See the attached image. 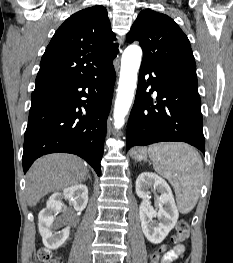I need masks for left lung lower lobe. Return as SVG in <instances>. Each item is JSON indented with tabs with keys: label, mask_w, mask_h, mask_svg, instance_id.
I'll list each match as a JSON object with an SVG mask.
<instances>
[{
	"label": "left lung lower lobe",
	"mask_w": 233,
	"mask_h": 263,
	"mask_svg": "<svg viewBox=\"0 0 233 263\" xmlns=\"http://www.w3.org/2000/svg\"><path fill=\"white\" fill-rule=\"evenodd\" d=\"M147 74L150 77L145 79ZM148 86L151 89L146 92ZM154 91H157L156 100L150 96ZM202 121L195 74L141 63L127 126V149L156 142L182 141L205 153Z\"/></svg>",
	"instance_id": "obj_1"
}]
</instances>
